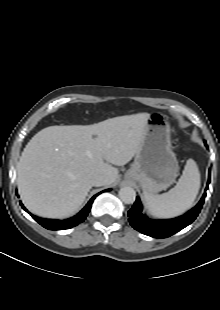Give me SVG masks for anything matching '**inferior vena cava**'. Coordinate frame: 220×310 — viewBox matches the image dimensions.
I'll use <instances>...</instances> for the list:
<instances>
[{
	"mask_svg": "<svg viewBox=\"0 0 220 310\" xmlns=\"http://www.w3.org/2000/svg\"><path fill=\"white\" fill-rule=\"evenodd\" d=\"M91 183L93 186H103L107 183V178L104 175H95L92 179H91Z\"/></svg>",
	"mask_w": 220,
	"mask_h": 310,
	"instance_id": "obj_1",
	"label": "inferior vena cava"
}]
</instances>
